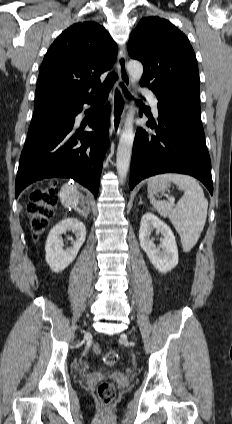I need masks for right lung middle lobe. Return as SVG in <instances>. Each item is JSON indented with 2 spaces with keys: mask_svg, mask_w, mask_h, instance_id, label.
Listing matches in <instances>:
<instances>
[{
  "mask_svg": "<svg viewBox=\"0 0 232 424\" xmlns=\"http://www.w3.org/2000/svg\"><path fill=\"white\" fill-rule=\"evenodd\" d=\"M39 109V108H38ZM38 109H35V111H37ZM33 117H35V112H34V114H33Z\"/></svg>",
  "mask_w": 232,
  "mask_h": 424,
  "instance_id": "1",
  "label": "right lung middle lobe"
}]
</instances>
